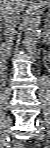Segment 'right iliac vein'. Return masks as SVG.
<instances>
[{
  "label": "right iliac vein",
  "instance_id": "right-iliac-vein-1",
  "mask_svg": "<svg viewBox=\"0 0 50 148\" xmlns=\"http://www.w3.org/2000/svg\"><path fill=\"white\" fill-rule=\"evenodd\" d=\"M10 124H11V117L8 116L6 118V121L3 124V127H2L1 132H0V145L2 147L5 145L6 138H7V128L10 126Z\"/></svg>",
  "mask_w": 50,
  "mask_h": 148
}]
</instances>
